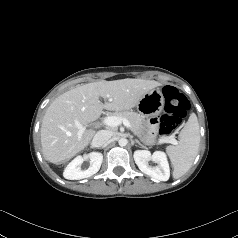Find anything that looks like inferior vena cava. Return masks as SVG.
<instances>
[{
	"instance_id": "inferior-vena-cava-1",
	"label": "inferior vena cava",
	"mask_w": 238,
	"mask_h": 238,
	"mask_svg": "<svg viewBox=\"0 0 238 238\" xmlns=\"http://www.w3.org/2000/svg\"><path fill=\"white\" fill-rule=\"evenodd\" d=\"M110 138H111V134L109 131L100 130L94 135L92 144L95 147H101L105 145L109 141Z\"/></svg>"
}]
</instances>
